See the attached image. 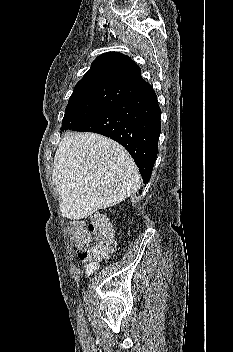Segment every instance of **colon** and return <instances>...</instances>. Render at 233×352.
<instances>
[{
	"label": "colon",
	"instance_id": "obj_1",
	"mask_svg": "<svg viewBox=\"0 0 233 352\" xmlns=\"http://www.w3.org/2000/svg\"><path fill=\"white\" fill-rule=\"evenodd\" d=\"M72 243L78 250V256L86 264V272L92 273L98 262L106 258L115 249L109 226L100 218L95 217L88 226L75 222L69 226ZM92 235L95 241L89 245Z\"/></svg>",
	"mask_w": 233,
	"mask_h": 352
}]
</instances>
